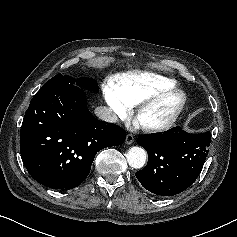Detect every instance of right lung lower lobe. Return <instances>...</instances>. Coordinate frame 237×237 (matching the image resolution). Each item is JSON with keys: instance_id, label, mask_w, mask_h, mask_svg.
<instances>
[{"instance_id": "98d812e1", "label": "right lung lower lobe", "mask_w": 237, "mask_h": 237, "mask_svg": "<svg viewBox=\"0 0 237 237\" xmlns=\"http://www.w3.org/2000/svg\"><path fill=\"white\" fill-rule=\"evenodd\" d=\"M125 139V130L91 114L83 90L68 82H53L42 86L26 110L20 152L37 182L72 189L88 176L98 151L121 145Z\"/></svg>"}]
</instances>
